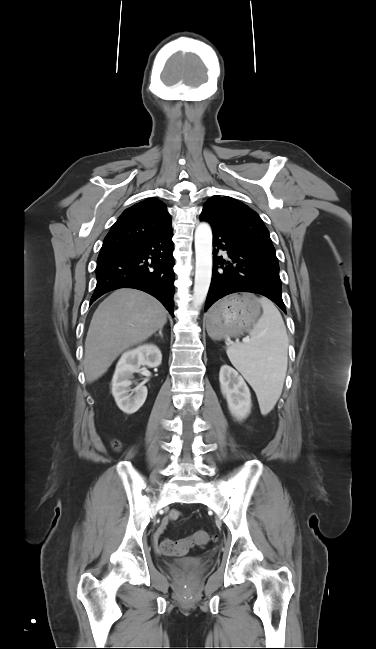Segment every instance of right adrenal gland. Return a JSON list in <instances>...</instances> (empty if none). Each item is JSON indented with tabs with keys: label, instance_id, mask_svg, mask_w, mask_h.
Wrapping results in <instances>:
<instances>
[{
	"label": "right adrenal gland",
	"instance_id": "obj_1",
	"mask_svg": "<svg viewBox=\"0 0 376 649\" xmlns=\"http://www.w3.org/2000/svg\"><path fill=\"white\" fill-rule=\"evenodd\" d=\"M162 330H163V329L160 328V329H159V333H158V334H155V336H160L161 338H163Z\"/></svg>",
	"mask_w": 376,
	"mask_h": 649
}]
</instances>
